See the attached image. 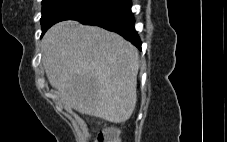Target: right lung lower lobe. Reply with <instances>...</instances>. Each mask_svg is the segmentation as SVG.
Returning a JSON list of instances; mask_svg holds the SVG:
<instances>
[{"label": "right lung lower lobe", "mask_w": 227, "mask_h": 142, "mask_svg": "<svg viewBox=\"0 0 227 142\" xmlns=\"http://www.w3.org/2000/svg\"><path fill=\"white\" fill-rule=\"evenodd\" d=\"M83 24L96 25L114 31L141 49L131 12V0H113L107 6L73 18Z\"/></svg>", "instance_id": "1"}]
</instances>
